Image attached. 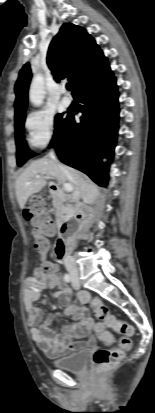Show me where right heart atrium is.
Instances as JSON below:
<instances>
[{"mask_svg":"<svg viewBox=\"0 0 155 413\" xmlns=\"http://www.w3.org/2000/svg\"><path fill=\"white\" fill-rule=\"evenodd\" d=\"M25 128L29 145L34 149H42L54 136V116L48 111H34L27 116Z\"/></svg>","mask_w":155,"mask_h":413,"instance_id":"1","label":"right heart atrium"}]
</instances>
